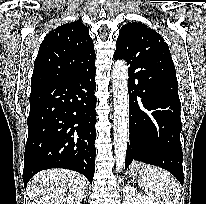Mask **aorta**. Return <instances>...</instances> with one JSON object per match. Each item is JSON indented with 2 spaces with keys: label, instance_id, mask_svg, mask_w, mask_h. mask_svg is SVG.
Masks as SVG:
<instances>
[{
  "label": "aorta",
  "instance_id": "1",
  "mask_svg": "<svg viewBox=\"0 0 206 204\" xmlns=\"http://www.w3.org/2000/svg\"><path fill=\"white\" fill-rule=\"evenodd\" d=\"M112 78L114 96L113 143L116 170L120 171L125 165L129 134L128 66L124 60L115 62Z\"/></svg>",
  "mask_w": 206,
  "mask_h": 204
}]
</instances>
